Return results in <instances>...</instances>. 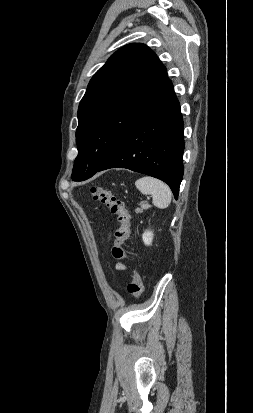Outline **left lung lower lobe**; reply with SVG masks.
<instances>
[{"label":"left lung lower lobe","mask_w":253,"mask_h":413,"mask_svg":"<svg viewBox=\"0 0 253 413\" xmlns=\"http://www.w3.org/2000/svg\"><path fill=\"white\" fill-rule=\"evenodd\" d=\"M183 127L179 101L170 83L159 100L96 172L127 168L144 173L166 182L177 199L184 171Z\"/></svg>","instance_id":"obj_1"}]
</instances>
